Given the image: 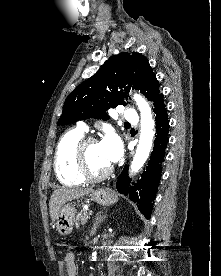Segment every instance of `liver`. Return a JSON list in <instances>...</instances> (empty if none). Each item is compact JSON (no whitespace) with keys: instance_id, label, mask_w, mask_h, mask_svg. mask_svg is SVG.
Here are the masks:
<instances>
[{"instance_id":"6515ba94","label":"liver","mask_w":221,"mask_h":276,"mask_svg":"<svg viewBox=\"0 0 221 276\" xmlns=\"http://www.w3.org/2000/svg\"><path fill=\"white\" fill-rule=\"evenodd\" d=\"M93 192L92 188H68L63 187L54 190L49 201L50 216L55 222L63 205L74 199H78Z\"/></svg>"}]
</instances>
